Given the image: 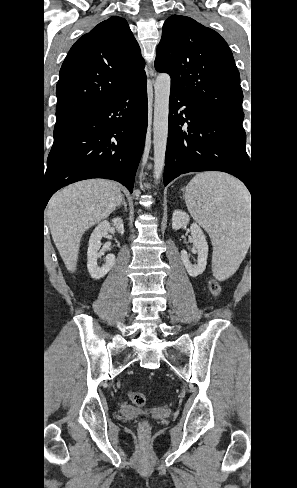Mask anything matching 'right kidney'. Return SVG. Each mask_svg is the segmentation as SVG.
I'll return each instance as SVG.
<instances>
[{
	"instance_id": "ca27d5eb",
	"label": "right kidney",
	"mask_w": 297,
	"mask_h": 488,
	"mask_svg": "<svg viewBox=\"0 0 297 488\" xmlns=\"http://www.w3.org/2000/svg\"><path fill=\"white\" fill-rule=\"evenodd\" d=\"M112 228H115L121 235H123V220L119 217L113 218L111 223L105 220L96 226L90 236L87 251V268L94 279H100L105 276L115 264L116 259L114 254H108L105 258V264L101 267L98 266L97 262L99 258L98 251L101 247V239L102 237H106Z\"/></svg>"
}]
</instances>
